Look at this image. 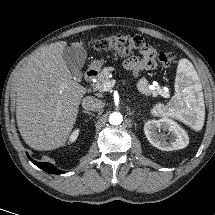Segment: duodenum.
<instances>
[{"instance_id": "1", "label": "duodenum", "mask_w": 215, "mask_h": 215, "mask_svg": "<svg viewBox=\"0 0 215 215\" xmlns=\"http://www.w3.org/2000/svg\"><path fill=\"white\" fill-rule=\"evenodd\" d=\"M97 75H98L97 70L91 68L86 71L84 79L87 83H90L97 77Z\"/></svg>"}]
</instances>
